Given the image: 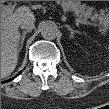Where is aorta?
Wrapping results in <instances>:
<instances>
[{"label":"aorta","instance_id":"obj_1","mask_svg":"<svg viewBox=\"0 0 109 109\" xmlns=\"http://www.w3.org/2000/svg\"><path fill=\"white\" fill-rule=\"evenodd\" d=\"M58 29L53 23H44L41 26V35L44 39L53 40L57 37Z\"/></svg>","mask_w":109,"mask_h":109}]
</instances>
